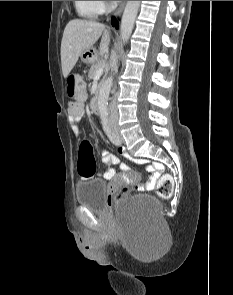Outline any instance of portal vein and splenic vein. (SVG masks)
Segmentation results:
<instances>
[{
	"label": "portal vein and splenic vein",
	"mask_w": 233,
	"mask_h": 295,
	"mask_svg": "<svg viewBox=\"0 0 233 295\" xmlns=\"http://www.w3.org/2000/svg\"><path fill=\"white\" fill-rule=\"evenodd\" d=\"M105 70V65L101 66L97 71H96V77L100 76L103 74Z\"/></svg>",
	"instance_id": "obj_1"
}]
</instances>
